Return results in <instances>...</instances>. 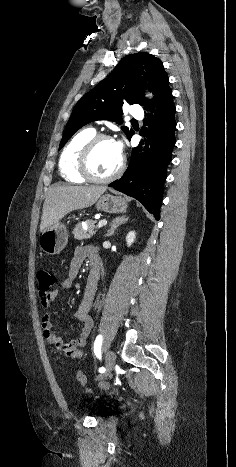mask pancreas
I'll return each instance as SVG.
<instances>
[{"mask_svg":"<svg viewBox=\"0 0 236 467\" xmlns=\"http://www.w3.org/2000/svg\"><path fill=\"white\" fill-rule=\"evenodd\" d=\"M86 225L88 227V230L85 231L83 229V226L82 224L79 222L76 224L74 230H73V235H74V238L77 239V240H84V239H88L90 238L91 236H93L95 234V223L96 221H93V220H87L86 222Z\"/></svg>","mask_w":236,"mask_h":467,"instance_id":"1","label":"pancreas"}]
</instances>
